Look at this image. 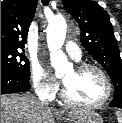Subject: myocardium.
I'll return each instance as SVG.
<instances>
[{
    "mask_svg": "<svg viewBox=\"0 0 122 123\" xmlns=\"http://www.w3.org/2000/svg\"><path fill=\"white\" fill-rule=\"evenodd\" d=\"M74 69L77 72H83L85 70L92 69V70H95L98 73H100L106 82L107 93H106L105 97L103 99H101L100 101H97L94 103H86V102H82V101H79V100L73 98L71 96V94L69 93L68 88L63 83L61 95H62L63 100L67 104H69L71 106L83 107V108H97V107L104 105L105 103H107L109 101V99L111 98V96L113 94V84H112V80H111L110 76L107 74V72L103 68H101L100 66H98L96 64L85 62V63L77 64Z\"/></svg>",
    "mask_w": 122,
    "mask_h": 123,
    "instance_id": "f54148a6",
    "label": "myocardium"
}]
</instances>
